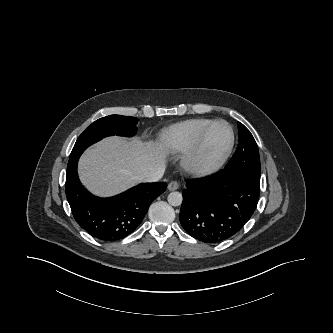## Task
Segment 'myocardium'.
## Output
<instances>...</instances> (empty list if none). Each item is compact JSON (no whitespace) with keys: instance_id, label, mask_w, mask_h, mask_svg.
Returning <instances> with one entry per match:
<instances>
[{"instance_id":"f54148a6","label":"myocardium","mask_w":333,"mask_h":333,"mask_svg":"<svg viewBox=\"0 0 333 333\" xmlns=\"http://www.w3.org/2000/svg\"><path fill=\"white\" fill-rule=\"evenodd\" d=\"M217 124H223L228 128L230 134L229 143L219 158L211 163H203L200 159L201 151L206 143L210 131ZM234 143L235 135L232 126L225 120H214L202 131L194 145L186 152L183 158V165L185 168L198 175H210L215 173L228 160L232 153Z\"/></svg>"}]
</instances>
